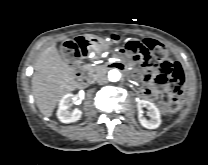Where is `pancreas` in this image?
<instances>
[{"label": "pancreas", "instance_id": "obj_1", "mask_svg": "<svg viewBox=\"0 0 208 165\" xmlns=\"http://www.w3.org/2000/svg\"><path fill=\"white\" fill-rule=\"evenodd\" d=\"M104 70L103 66H92V65H88L87 66V72L89 75L95 77L97 73L101 72Z\"/></svg>", "mask_w": 208, "mask_h": 165}]
</instances>
